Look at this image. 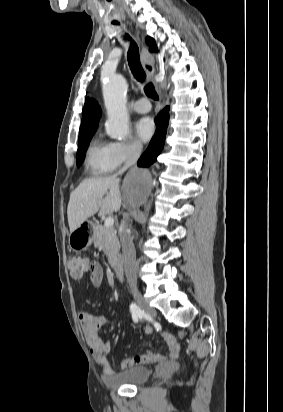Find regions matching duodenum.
Listing matches in <instances>:
<instances>
[{
	"mask_svg": "<svg viewBox=\"0 0 283 412\" xmlns=\"http://www.w3.org/2000/svg\"><path fill=\"white\" fill-rule=\"evenodd\" d=\"M115 276L118 281L123 282L125 279V271H124V265L123 261L121 258H117L113 261L112 264Z\"/></svg>",
	"mask_w": 283,
	"mask_h": 412,
	"instance_id": "1",
	"label": "duodenum"
}]
</instances>
